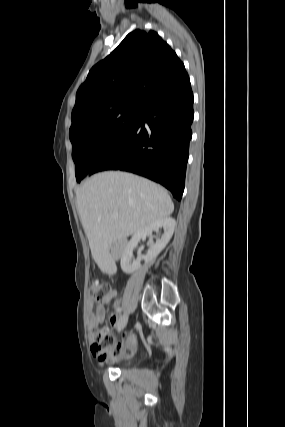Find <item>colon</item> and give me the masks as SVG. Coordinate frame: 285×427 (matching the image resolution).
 Returning <instances> with one entry per match:
<instances>
[{
    "label": "colon",
    "mask_w": 285,
    "mask_h": 427,
    "mask_svg": "<svg viewBox=\"0 0 285 427\" xmlns=\"http://www.w3.org/2000/svg\"><path fill=\"white\" fill-rule=\"evenodd\" d=\"M109 292L110 287L105 282L92 280L89 284L88 295L94 301L101 302ZM90 338L93 342V350L101 359L108 360L114 357V353L111 350L114 342L107 328H92L90 330ZM125 351L129 353L131 349L126 348Z\"/></svg>",
    "instance_id": "5ec220e1"
}]
</instances>
